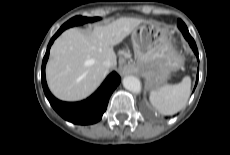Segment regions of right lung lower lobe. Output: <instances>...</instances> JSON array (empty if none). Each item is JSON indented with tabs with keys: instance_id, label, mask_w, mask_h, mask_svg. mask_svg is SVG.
Listing matches in <instances>:
<instances>
[{
	"instance_id": "obj_1",
	"label": "right lung lower lobe",
	"mask_w": 230,
	"mask_h": 155,
	"mask_svg": "<svg viewBox=\"0 0 230 155\" xmlns=\"http://www.w3.org/2000/svg\"><path fill=\"white\" fill-rule=\"evenodd\" d=\"M60 28L50 40L46 54L43 58L41 81L44 93L54 110L65 120L74 124L88 125L98 122L105 112L112 92L120 83V77L112 72L100 88L89 98L81 102L68 103L56 99L49 91L45 79V66L49 57V50L54 40L63 32Z\"/></svg>"
}]
</instances>
